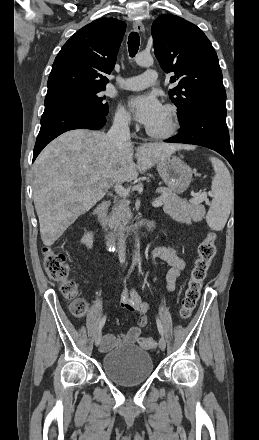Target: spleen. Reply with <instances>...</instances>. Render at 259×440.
<instances>
[{
  "instance_id": "1",
  "label": "spleen",
  "mask_w": 259,
  "mask_h": 440,
  "mask_svg": "<svg viewBox=\"0 0 259 440\" xmlns=\"http://www.w3.org/2000/svg\"><path fill=\"white\" fill-rule=\"evenodd\" d=\"M210 161L215 175L211 185L213 199L206 216V222L211 229L221 231L233 206V185L225 164L215 157H210Z\"/></svg>"
}]
</instances>
